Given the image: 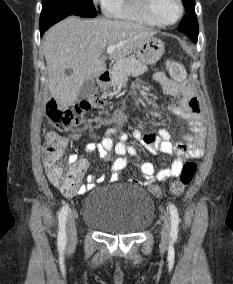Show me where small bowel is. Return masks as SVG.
I'll return each mask as SVG.
<instances>
[{
    "label": "small bowel",
    "mask_w": 233,
    "mask_h": 284,
    "mask_svg": "<svg viewBox=\"0 0 233 284\" xmlns=\"http://www.w3.org/2000/svg\"><path fill=\"white\" fill-rule=\"evenodd\" d=\"M154 79L161 85L164 92L173 97H178L177 105L172 106L171 110L189 123L190 133L184 136L185 143L172 142L170 133L165 129H159L156 134L142 133L140 130L133 132L134 139L140 141L154 151L176 155V160L168 167L159 172L155 171L152 163L143 161L139 170L144 180L142 185L151 183L164 182L167 179L179 176L185 159H197L203 156L205 145V126L201 115L200 104L195 96L192 87L185 81H175L169 79L164 72H156ZM79 137L78 133L73 134V138ZM128 133L120 132L116 128H109L102 140L98 144H88L87 153L97 151L99 156L107 161L112 162V179L116 180L118 172L127 166V155L136 156L137 150L134 146L127 143ZM118 157L113 160V155ZM69 170L79 172L82 176L89 168V161L85 158H79L77 155H71L68 159ZM44 169L49 181L57 186L53 171L46 161H43ZM104 181V177L94 175L87 176V184L80 187L77 193L83 194L93 189L96 183Z\"/></svg>",
    "instance_id": "c3829d8e"
}]
</instances>
